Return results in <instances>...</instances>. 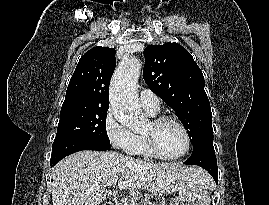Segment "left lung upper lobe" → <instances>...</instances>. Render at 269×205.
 <instances>
[{"instance_id": "obj_1", "label": "left lung upper lobe", "mask_w": 269, "mask_h": 205, "mask_svg": "<svg viewBox=\"0 0 269 205\" xmlns=\"http://www.w3.org/2000/svg\"><path fill=\"white\" fill-rule=\"evenodd\" d=\"M144 55L146 84L176 112L194 148L213 137L204 77L192 55L180 44L170 42L150 45Z\"/></svg>"}]
</instances>
